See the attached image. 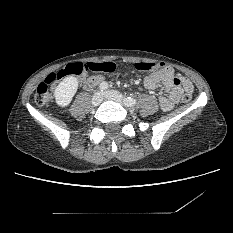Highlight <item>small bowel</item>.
Returning <instances> with one entry per match:
<instances>
[{
    "instance_id": "1",
    "label": "small bowel",
    "mask_w": 233,
    "mask_h": 233,
    "mask_svg": "<svg viewBox=\"0 0 233 233\" xmlns=\"http://www.w3.org/2000/svg\"><path fill=\"white\" fill-rule=\"evenodd\" d=\"M113 64L112 61L109 62ZM105 82L104 80L101 82ZM145 89L154 91L159 89L156 97L163 111H171L184 92L192 94L191 81L176 73L173 68L165 65L162 69L152 71L143 81Z\"/></svg>"
}]
</instances>
